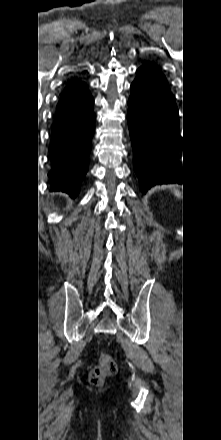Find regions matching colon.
<instances>
[{
    "mask_svg": "<svg viewBox=\"0 0 221 440\" xmlns=\"http://www.w3.org/2000/svg\"><path fill=\"white\" fill-rule=\"evenodd\" d=\"M117 367L110 355L101 353L99 355V364L90 372V382L93 385H101L105 378L116 373Z\"/></svg>",
    "mask_w": 221,
    "mask_h": 440,
    "instance_id": "5ec220e1",
    "label": "colon"
}]
</instances>
